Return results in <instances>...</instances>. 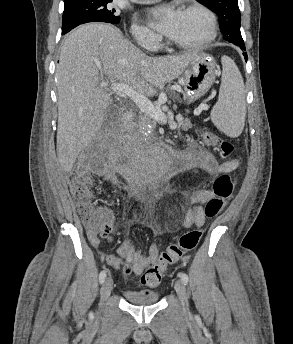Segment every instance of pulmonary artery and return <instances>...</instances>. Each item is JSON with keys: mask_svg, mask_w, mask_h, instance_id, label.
Masks as SVG:
<instances>
[{"mask_svg": "<svg viewBox=\"0 0 293 344\" xmlns=\"http://www.w3.org/2000/svg\"><path fill=\"white\" fill-rule=\"evenodd\" d=\"M133 1L140 3V4H147V3H152V2H155L158 0H133Z\"/></svg>", "mask_w": 293, "mask_h": 344, "instance_id": "pulmonary-artery-1", "label": "pulmonary artery"}]
</instances>
